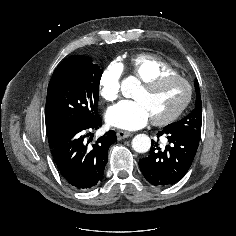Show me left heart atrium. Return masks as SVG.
<instances>
[{
    "label": "left heart atrium",
    "mask_w": 236,
    "mask_h": 236,
    "mask_svg": "<svg viewBox=\"0 0 236 236\" xmlns=\"http://www.w3.org/2000/svg\"><path fill=\"white\" fill-rule=\"evenodd\" d=\"M107 122L126 130H137L147 124L150 114L140 100H125L111 107L106 115Z\"/></svg>",
    "instance_id": "1"
}]
</instances>
